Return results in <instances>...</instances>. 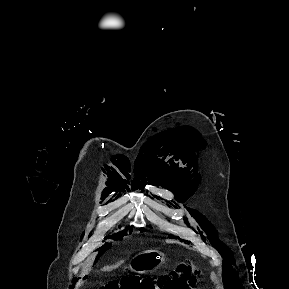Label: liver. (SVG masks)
Returning <instances> with one entry per match:
<instances>
[{
    "mask_svg": "<svg viewBox=\"0 0 289 289\" xmlns=\"http://www.w3.org/2000/svg\"><path fill=\"white\" fill-rule=\"evenodd\" d=\"M119 264H120V263L116 264L115 266H111V267H104V268H103V270H104V271H108V270L112 269L113 267H116V266H118Z\"/></svg>",
    "mask_w": 289,
    "mask_h": 289,
    "instance_id": "liver-1",
    "label": "liver"
}]
</instances>
